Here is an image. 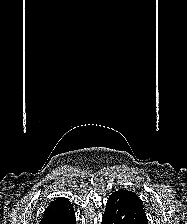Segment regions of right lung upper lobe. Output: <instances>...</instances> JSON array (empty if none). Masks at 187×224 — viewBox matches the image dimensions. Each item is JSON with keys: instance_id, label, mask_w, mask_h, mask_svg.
<instances>
[{"instance_id": "obj_1", "label": "right lung upper lobe", "mask_w": 187, "mask_h": 224, "mask_svg": "<svg viewBox=\"0 0 187 224\" xmlns=\"http://www.w3.org/2000/svg\"><path fill=\"white\" fill-rule=\"evenodd\" d=\"M73 208L67 198L60 197L47 207L40 224H52L53 222L68 216Z\"/></svg>"}]
</instances>
